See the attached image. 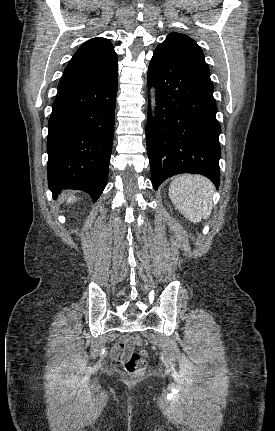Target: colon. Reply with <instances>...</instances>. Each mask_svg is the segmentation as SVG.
Instances as JSON below:
<instances>
[{
    "label": "colon",
    "mask_w": 275,
    "mask_h": 431,
    "mask_svg": "<svg viewBox=\"0 0 275 431\" xmlns=\"http://www.w3.org/2000/svg\"><path fill=\"white\" fill-rule=\"evenodd\" d=\"M125 344L128 346H139L142 344V339L140 336L136 335L131 338H126ZM146 354L147 353L144 350L132 353L124 363L125 370L130 374H140L146 366Z\"/></svg>",
    "instance_id": "1"
}]
</instances>
